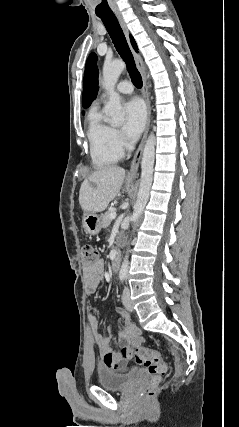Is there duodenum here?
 <instances>
[{"label": "duodenum", "mask_w": 239, "mask_h": 427, "mask_svg": "<svg viewBox=\"0 0 239 427\" xmlns=\"http://www.w3.org/2000/svg\"><path fill=\"white\" fill-rule=\"evenodd\" d=\"M111 268L114 273H118L120 269V257L118 254H115L112 258Z\"/></svg>", "instance_id": "obj_1"}]
</instances>
